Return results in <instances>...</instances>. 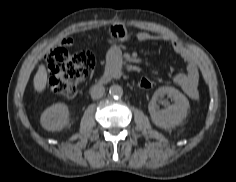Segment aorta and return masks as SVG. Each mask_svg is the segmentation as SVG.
Masks as SVG:
<instances>
[{"label": "aorta", "instance_id": "762f6f07", "mask_svg": "<svg viewBox=\"0 0 236 182\" xmlns=\"http://www.w3.org/2000/svg\"><path fill=\"white\" fill-rule=\"evenodd\" d=\"M109 93H110L111 96H113L115 98H118V97H121L123 95V89L119 85H112L109 88Z\"/></svg>", "mask_w": 236, "mask_h": 182}]
</instances>
